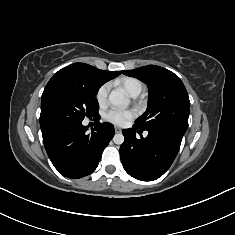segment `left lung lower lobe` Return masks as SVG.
<instances>
[{"mask_svg": "<svg viewBox=\"0 0 235 235\" xmlns=\"http://www.w3.org/2000/svg\"><path fill=\"white\" fill-rule=\"evenodd\" d=\"M136 128L123 130L124 143L120 146L121 162L125 171L142 181L161 177L173 163L184 135L171 128L148 129V136L137 139Z\"/></svg>", "mask_w": 235, "mask_h": 235, "instance_id": "obj_1", "label": "left lung lower lobe"}]
</instances>
